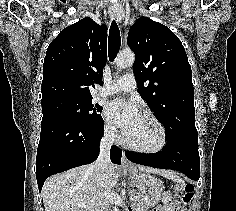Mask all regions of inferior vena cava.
<instances>
[{"label":"inferior vena cava","mask_w":236,"mask_h":211,"mask_svg":"<svg viewBox=\"0 0 236 211\" xmlns=\"http://www.w3.org/2000/svg\"><path fill=\"white\" fill-rule=\"evenodd\" d=\"M115 134L114 131H106L104 137L100 143V154L97 160L91 165V168L96 173L97 180L104 184V187L107 189L105 192V200L100 202L97 211H108L107 197L111 195V190L106 183H103L107 178V172L111 165L110 161V149L114 142Z\"/></svg>","instance_id":"602c4592"}]
</instances>
